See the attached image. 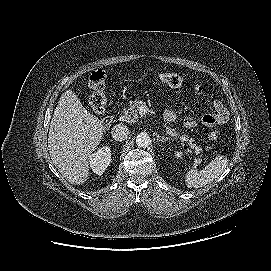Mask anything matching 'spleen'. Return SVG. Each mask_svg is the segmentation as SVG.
<instances>
[{
	"label": "spleen",
	"instance_id": "1",
	"mask_svg": "<svg viewBox=\"0 0 271 271\" xmlns=\"http://www.w3.org/2000/svg\"><path fill=\"white\" fill-rule=\"evenodd\" d=\"M228 158L219 155L212 160L205 168L198 171L189 169L185 176V184L188 188H200L219 177L228 166Z\"/></svg>",
	"mask_w": 271,
	"mask_h": 271
}]
</instances>
